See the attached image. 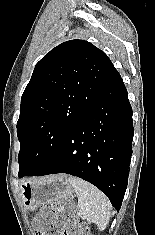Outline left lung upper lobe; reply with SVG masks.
<instances>
[{
    "instance_id": "5c2ea615",
    "label": "left lung upper lobe",
    "mask_w": 155,
    "mask_h": 235,
    "mask_svg": "<svg viewBox=\"0 0 155 235\" xmlns=\"http://www.w3.org/2000/svg\"><path fill=\"white\" fill-rule=\"evenodd\" d=\"M115 72L106 54L84 40L64 42L36 64L17 122L19 177L48 163Z\"/></svg>"
}]
</instances>
